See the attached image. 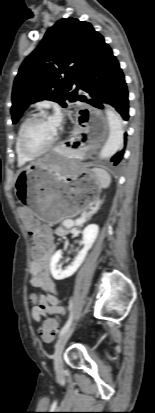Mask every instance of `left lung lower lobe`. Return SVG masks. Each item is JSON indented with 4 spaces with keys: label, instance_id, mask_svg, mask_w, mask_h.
Segmentation results:
<instances>
[{
    "label": "left lung lower lobe",
    "instance_id": "1",
    "mask_svg": "<svg viewBox=\"0 0 155 413\" xmlns=\"http://www.w3.org/2000/svg\"><path fill=\"white\" fill-rule=\"evenodd\" d=\"M81 89L88 93V98L79 99L94 107L102 108L101 102L111 104L124 120L129 118L128 90L119 62L107 45L91 70L83 78ZM126 143L127 134L124 135ZM125 149L118 151L112 158L113 165L123 159Z\"/></svg>",
    "mask_w": 155,
    "mask_h": 413
}]
</instances>
